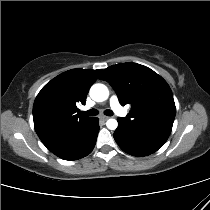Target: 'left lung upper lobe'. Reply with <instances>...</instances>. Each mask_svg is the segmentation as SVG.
I'll list each match as a JSON object with an SVG mask.
<instances>
[{
	"instance_id": "5c2ea615",
	"label": "left lung upper lobe",
	"mask_w": 210,
	"mask_h": 210,
	"mask_svg": "<svg viewBox=\"0 0 210 210\" xmlns=\"http://www.w3.org/2000/svg\"><path fill=\"white\" fill-rule=\"evenodd\" d=\"M100 79L110 83L122 105L132 106L126 117L118 118L123 127L169 137L176 107L172 91L161 76L146 66L122 63L106 68Z\"/></svg>"
}]
</instances>
